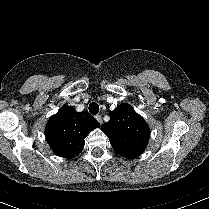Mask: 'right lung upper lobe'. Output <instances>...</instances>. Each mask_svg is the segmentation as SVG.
Returning <instances> with one entry per match:
<instances>
[{"label": "right lung upper lobe", "mask_w": 209, "mask_h": 209, "mask_svg": "<svg viewBox=\"0 0 209 209\" xmlns=\"http://www.w3.org/2000/svg\"><path fill=\"white\" fill-rule=\"evenodd\" d=\"M99 122L87 111L76 112L64 105L50 117L45 129L46 140L53 152L60 157L73 158L84 147V138Z\"/></svg>", "instance_id": "1"}]
</instances>
